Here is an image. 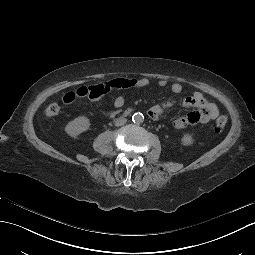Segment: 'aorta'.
<instances>
[{
    "label": "aorta",
    "instance_id": "762f6f07",
    "mask_svg": "<svg viewBox=\"0 0 255 255\" xmlns=\"http://www.w3.org/2000/svg\"><path fill=\"white\" fill-rule=\"evenodd\" d=\"M144 120V115L140 112L138 113H134L132 115V121L135 123V124H141Z\"/></svg>",
    "mask_w": 255,
    "mask_h": 255
}]
</instances>
